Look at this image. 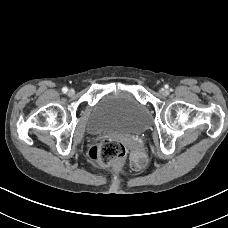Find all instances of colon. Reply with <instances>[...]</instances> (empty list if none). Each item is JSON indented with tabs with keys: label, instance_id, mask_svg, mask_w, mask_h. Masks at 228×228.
Returning <instances> with one entry per match:
<instances>
[{
	"label": "colon",
	"instance_id": "obj_1",
	"mask_svg": "<svg viewBox=\"0 0 228 228\" xmlns=\"http://www.w3.org/2000/svg\"><path fill=\"white\" fill-rule=\"evenodd\" d=\"M125 154L124 145L113 139L102 140L89 151L91 161L103 167L119 162Z\"/></svg>",
	"mask_w": 228,
	"mask_h": 228
}]
</instances>
